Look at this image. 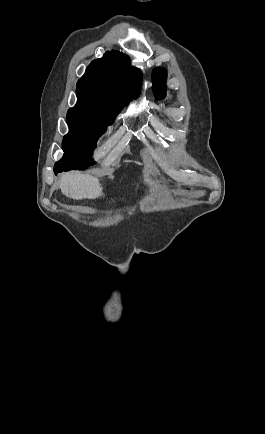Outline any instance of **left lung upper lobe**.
Segmentation results:
<instances>
[{
    "label": "left lung upper lobe",
    "instance_id": "left-lung-upper-lobe-1",
    "mask_svg": "<svg viewBox=\"0 0 265 434\" xmlns=\"http://www.w3.org/2000/svg\"><path fill=\"white\" fill-rule=\"evenodd\" d=\"M166 78V71L163 68H156L152 73V80L154 83L153 90L157 99H163L166 95V86L164 85Z\"/></svg>",
    "mask_w": 265,
    "mask_h": 434
}]
</instances>
